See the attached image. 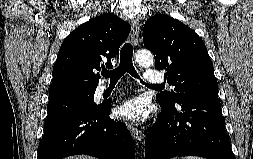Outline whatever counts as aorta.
Wrapping results in <instances>:
<instances>
[{
    "label": "aorta",
    "mask_w": 253,
    "mask_h": 159,
    "mask_svg": "<svg viewBox=\"0 0 253 159\" xmlns=\"http://www.w3.org/2000/svg\"><path fill=\"white\" fill-rule=\"evenodd\" d=\"M135 60L141 66H150L153 64L154 57L151 52L141 50L136 53Z\"/></svg>",
    "instance_id": "aorta-1"
}]
</instances>
